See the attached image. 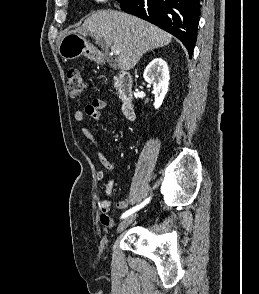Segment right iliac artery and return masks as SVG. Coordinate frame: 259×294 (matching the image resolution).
<instances>
[{"label":"right iliac artery","instance_id":"right-iliac-artery-1","mask_svg":"<svg viewBox=\"0 0 259 294\" xmlns=\"http://www.w3.org/2000/svg\"><path fill=\"white\" fill-rule=\"evenodd\" d=\"M150 201V197L147 198L145 201H143L141 204L127 210L125 213L122 214L121 218H126L128 217L129 215L133 214L134 212H136L137 210L141 209L142 207H144L147 203H149Z\"/></svg>","mask_w":259,"mask_h":294}]
</instances>
